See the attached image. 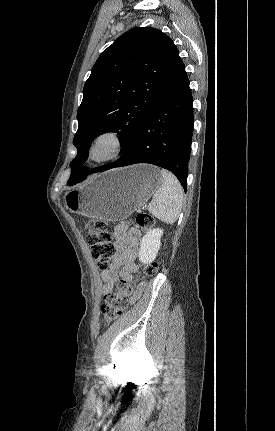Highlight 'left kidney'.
<instances>
[{
	"mask_svg": "<svg viewBox=\"0 0 275 431\" xmlns=\"http://www.w3.org/2000/svg\"><path fill=\"white\" fill-rule=\"evenodd\" d=\"M163 230L159 228H153L147 231L140 242L139 249V260L148 264L151 263L157 256L158 250L161 246V236Z\"/></svg>",
	"mask_w": 275,
	"mask_h": 431,
	"instance_id": "obj_1",
	"label": "left kidney"
}]
</instances>
